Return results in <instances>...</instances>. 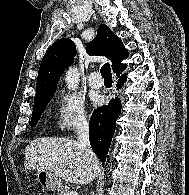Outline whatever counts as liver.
I'll use <instances>...</instances> for the list:
<instances>
[{
	"label": "liver",
	"instance_id": "liver-1",
	"mask_svg": "<svg viewBox=\"0 0 189 195\" xmlns=\"http://www.w3.org/2000/svg\"><path fill=\"white\" fill-rule=\"evenodd\" d=\"M24 166L31 170H48L75 184H88L98 175L99 160L79 141L43 137L25 148Z\"/></svg>",
	"mask_w": 189,
	"mask_h": 195
}]
</instances>
